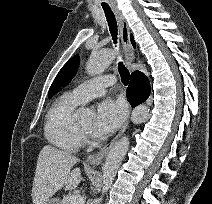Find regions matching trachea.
I'll use <instances>...</instances> for the list:
<instances>
[{"instance_id":"obj_1","label":"trachea","mask_w":212,"mask_h":204,"mask_svg":"<svg viewBox=\"0 0 212 204\" xmlns=\"http://www.w3.org/2000/svg\"><path fill=\"white\" fill-rule=\"evenodd\" d=\"M102 8L105 12V16L109 25V30L111 33V36L113 38L114 43H117V23H116V19H115V15L112 12L111 8L108 5H102ZM118 70H119V74L121 76V81L122 83L127 86L129 83V79H130V74L128 69L124 66V64L122 62L118 63Z\"/></svg>"}]
</instances>
